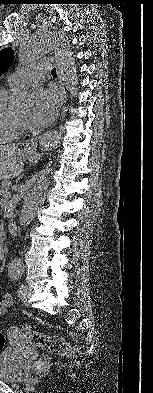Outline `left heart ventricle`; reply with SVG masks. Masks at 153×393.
<instances>
[{
	"mask_svg": "<svg viewBox=\"0 0 153 393\" xmlns=\"http://www.w3.org/2000/svg\"><path fill=\"white\" fill-rule=\"evenodd\" d=\"M18 117L23 119V120H26L27 117H28V113L26 112V113L19 114Z\"/></svg>",
	"mask_w": 153,
	"mask_h": 393,
	"instance_id": "left-heart-ventricle-1",
	"label": "left heart ventricle"
}]
</instances>
